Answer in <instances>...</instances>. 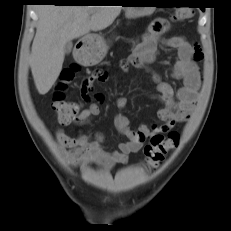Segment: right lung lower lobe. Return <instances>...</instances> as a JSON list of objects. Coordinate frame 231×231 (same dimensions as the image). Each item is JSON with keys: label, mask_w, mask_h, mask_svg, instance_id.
Listing matches in <instances>:
<instances>
[{"label": "right lung lower lobe", "mask_w": 231, "mask_h": 231, "mask_svg": "<svg viewBox=\"0 0 231 231\" xmlns=\"http://www.w3.org/2000/svg\"><path fill=\"white\" fill-rule=\"evenodd\" d=\"M38 3H54L56 5H76L77 3L72 0H34Z\"/></svg>", "instance_id": "1"}]
</instances>
